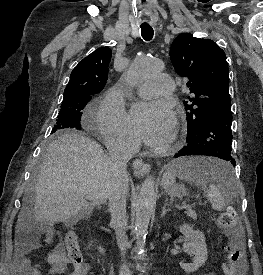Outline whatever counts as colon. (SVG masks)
<instances>
[{"instance_id":"5ec220e1","label":"colon","mask_w":263,"mask_h":275,"mask_svg":"<svg viewBox=\"0 0 263 275\" xmlns=\"http://www.w3.org/2000/svg\"><path fill=\"white\" fill-rule=\"evenodd\" d=\"M218 224L228 237L225 246L227 260L223 269L225 275H245V262L242 252V237L236 214L233 210H225L218 216ZM67 257L72 266H83V258L75 233L69 232L64 240ZM206 273L204 275H207Z\"/></svg>"}]
</instances>
